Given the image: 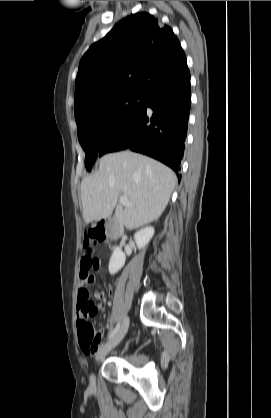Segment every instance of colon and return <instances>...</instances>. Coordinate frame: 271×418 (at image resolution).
I'll use <instances>...</instances> for the list:
<instances>
[{"instance_id": "colon-1", "label": "colon", "mask_w": 271, "mask_h": 418, "mask_svg": "<svg viewBox=\"0 0 271 418\" xmlns=\"http://www.w3.org/2000/svg\"><path fill=\"white\" fill-rule=\"evenodd\" d=\"M107 235V225L104 221L90 224L85 231L84 249L90 266H97V261L92 257L95 247L104 242ZM95 315V314H93ZM78 336L80 346L84 350L94 349L99 336L96 334L92 323H80L78 321Z\"/></svg>"}]
</instances>
